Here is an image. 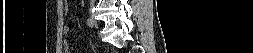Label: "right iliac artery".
Listing matches in <instances>:
<instances>
[{
  "instance_id": "right-iliac-artery-1",
  "label": "right iliac artery",
  "mask_w": 253,
  "mask_h": 53,
  "mask_svg": "<svg viewBox=\"0 0 253 53\" xmlns=\"http://www.w3.org/2000/svg\"><path fill=\"white\" fill-rule=\"evenodd\" d=\"M87 25L89 26V27H93V25H94V23H93V20L92 19H87Z\"/></svg>"
}]
</instances>
